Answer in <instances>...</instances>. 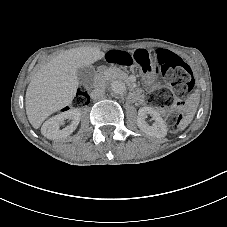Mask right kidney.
Segmentation results:
<instances>
[{
    "label": "right kidney",
    "instance_id": "right-kidney-1",
    "mask_svg": "<svg viewBox=\"0 0 227 227\" xmlns=\"http://www.w3.org/2000/svg\"><path fill=\"white\" fill-rule=\"evenodd\" d=\"M80 118V110L71 108L45 121L41 127V133L48 139L66 137L75 131L80 122ZM65 120H70L71 124L66 128L60 129V125H62Z\"/></svg>",
    "mask_w": 227,
    "mask_h": 227
}]
</instances>
